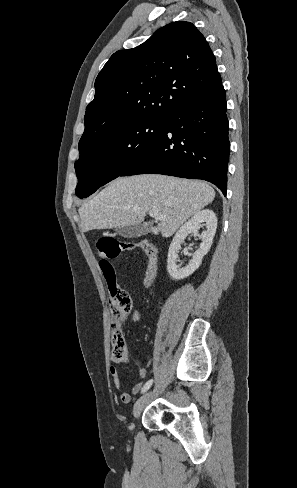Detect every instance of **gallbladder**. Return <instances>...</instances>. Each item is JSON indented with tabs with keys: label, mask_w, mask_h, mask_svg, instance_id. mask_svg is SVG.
I'll use <instances>...</instances> for the list:
<instances>
[{
	"label": "gallbladder",
	"mask_w": 297,
	"mask_h": 488,
	"mask_svg": "<svg viewBox=\"0 0 297 488\" xmlns=\"http://www.w3.org/2000/svg\"><path fill=\"white\" fill-rule=\"evenodd\" d=\"M151 224H136L121 226L116 229V232L124 238H137L150 232Z\"/></svg>",
	"instance_id": "obj_1"
}]
</instances>
